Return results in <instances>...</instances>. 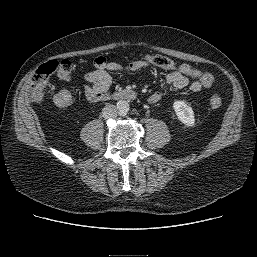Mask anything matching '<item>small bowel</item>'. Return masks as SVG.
Returning a JSON list of instances; mask_svg holds the SVG:
<instances>
[{
  "label": "small bowel",
  "mask_w": 257,
  "mask_h": 257,
  "mask_svg": "<svg viewBox=\"0 0 257 257\" xmlns=\"http://www.w3.org/2000/svg\"><path fill=\"white\" fill-rule=\"evenodd\" d=\"M94 63L95 70L89 72L85 77L87 81L85 94L92 102L100 101L107 96L111 84L110 72L131 73L142 69L152 68L154 66L145 59L132 61L127 65H122L118 62H109L104 57H98L95 59ZM165 83L171 89H187L192 92H199L204 87L199 81L190 80L188 76H185L179 71L173 69L167 70ZM162 98L163 93L161 91H155L148 97V102L150 104H157L162 100Z\"/></svg>",
  "instance_id": "1"
}]
</instances>
